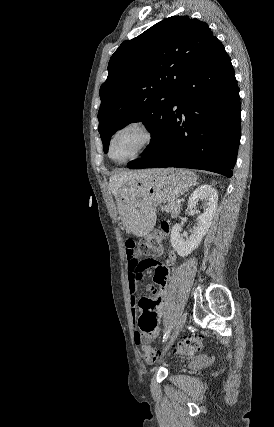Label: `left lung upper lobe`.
Segmentation results:
<instances>
[{
  "mask_svg": "<svg viewBox=\"0 0 274 427\" xmlns=\"http://www.w3.org/2000/svg\"><path fill=\"white\" fill-rule=\"evenodd\" d=\"M213 37L207 23L172 16L119 46L99 91V133L105 153L111 136L136 121H143L152 134L142 155L153 146L180 83Z\"/></svg>",
  "mask_w": 274,
  "mask_h": 427,
  "instance_id": "left-lung-upper-lobe-1",
  "label": "left lung upper lobe"
}]
</instances>
